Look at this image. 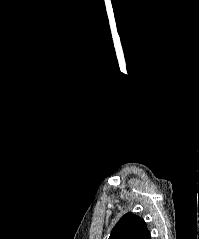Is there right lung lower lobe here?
<instances>
[{"instance_id":"98d812e1","label":"right lung lower lobe","mask_w":199,"mask_h":239,"mask_svg":"<svg viewBox=\"0 0 199 239\" xmlns=\"http://www.w3.org/2000/svg\"><path fill=\"white\" fill-rule=\"evenodd\" d=\"M145 239H151V236H150V234L145 238Z\"/></svg>"}]
</instances>
